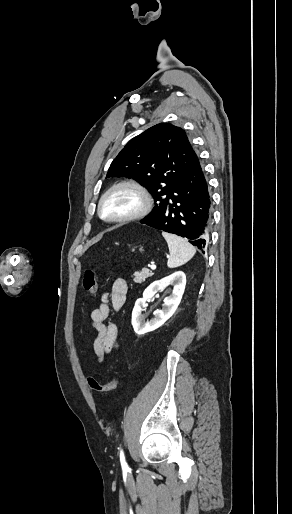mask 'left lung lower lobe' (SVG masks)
Returning <instances> with one entry per match:
<instances>
[{"label":"left lung lower lobe","instance_id":"1","mask_svg":"<svg viewBox=\"0 0 292 514\" xmlns=\"http://www.w3.org/2000/svg\"><path fill=\"white\" fill-rule=\"evenodd\" d=\"M140 222L185 237L201 250L205 248L211 223V198L200 159L194 150L185 175L172 193L159 203L156 215Z\"/></svg>","mask_w":292,"mask_h":514}]
</instances>
